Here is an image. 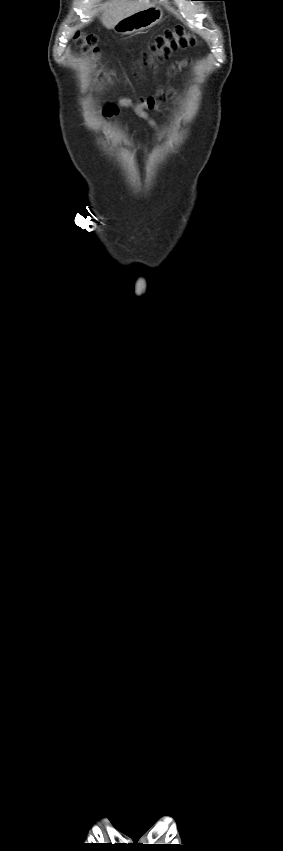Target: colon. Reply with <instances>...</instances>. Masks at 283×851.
<instances>
[{
	"label": "colon",
	"mask_w": 283,
	"mask_h": 851,
	"mask_svg": "<svg viewBox=\"0 0 283 851\" xmlns=\"http://www.w3.org/2000/svg\"><path fill=\"white\" fill-rule=\"evenodd\" d=\"M75 42L89 56L93 58L98 56L99 49L96 36L81 32L75 36ZM195 45H197L196 37L188 33L183 27L177 26L167 29L162 34L157 35L148 50L143 52L142 61L149 66H154L156 61L166 59L174 49Z\"/></svg>",
	"instance_id": "colon-1"
}]
</instances>
